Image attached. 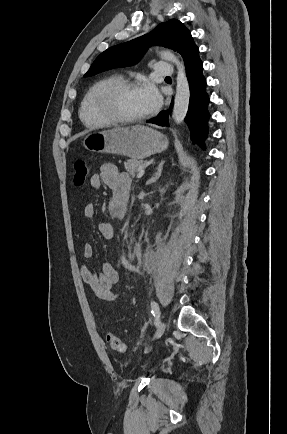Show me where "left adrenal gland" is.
I'll list each match as a JSON object with an SVG mask.
<instances>
[{"label":"left adrenal gland","mask_w":287,"mask_h":434,"mask_svg":"<svg viewBox=\"0 0 287 434\" xmlns=\"http://www.w3.org/2000/svg\"><path fill=\"white\" fill-rule=\"evenodd\" d=\"M164 163H165V161L164 160H162L160 163H159V165H158V168H157V171L154 173V175L146 182L147 183V185H149V184H151V183H154V182H156L158 179H159V177L161 176V174H162V169H163V165H164Z\"/></svg>","instance_id":"left-adrenal-gland-1"}]
</instances>
